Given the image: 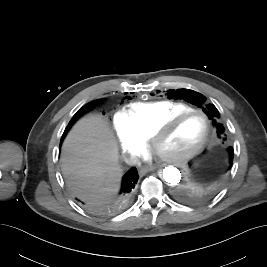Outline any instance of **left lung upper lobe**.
<instances>
[{
  "mask_svg": "<svg viewBox=\"0 0 267 267\" xmlns=\"http://www.w3.org/2000/svg\"><path fill=\"white\" fill-rule=\"evenodd\" d=\"M168 97L171 99H182L191 104L197 105L202 108L206 115L213 121V125L216 127L218 137L224 136V127L222 124L217 122L220 114L217 108L213 104H208L206 102V97L198 92L189 89H178V90H168ZM225 140V138H223ZM232 166V163H231Z\"/></svg>",
  "mask_w": 267,
  "mask_h": 267,
  "instance_id": "5c2ea615",
  "label": "left lung upper lobe"
}]
</instances>
